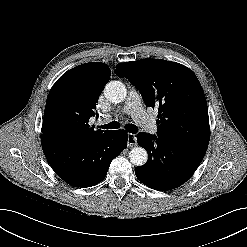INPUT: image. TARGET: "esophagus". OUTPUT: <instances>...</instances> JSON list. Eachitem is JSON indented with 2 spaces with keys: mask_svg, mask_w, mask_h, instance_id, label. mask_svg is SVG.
<instances>
[{
  "mask_svg": "<svg viewBox=\"0 0 247 247\" xmlns=\"http://www.w3.org/2000/svg\"><path fill=\"white\" fill-rule=\"evenodd\" d=\"M127 144H128L129 147L136 146V144H137V138H136L135 134L128 133V136H127Z\"/></svg>",
  "mask_w": 247,
  "mask_h": 247,
  "instance_id": "1",
  "label": "esophagus"
}]
</instances>
